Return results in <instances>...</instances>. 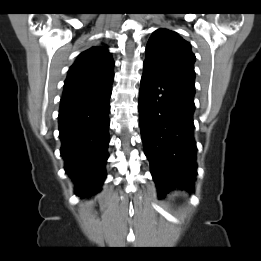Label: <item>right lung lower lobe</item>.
Returning a JSON list of instances; mask_svg holds the SVG:
<instances>
[{
    "label": "right lung lower lobe",
    "instance_id": "obj_1",
    "mask_svg": "<svg viewBox=\"0 0 261 261\" xmlns=\"http://www.w3.org/2000/svg\"><path fill=\"white\" fill-rule=\"evenodd\" d=\"M111 92L112 83L61 98L60 153L65 171L75 183V192L81 197L98 192L106 178Z\"/></svg>",
    "mask_w": 261,
    "mask_h": 261
}]
</instances>
